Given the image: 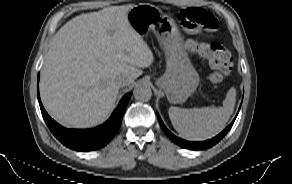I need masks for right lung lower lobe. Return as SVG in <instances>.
Segmentation results:
<instances>
[{"mask_svg":"<svg viewBox=\"0 0 292 184\" xmlns=\"http://www.w3.org/2000/svg\"><path fill=\"white\" fill-rule=\"evenodd\" d=\"M131 94L122 98L110 119L95 129H66L57 124L44 110L38 93V101L42 116L53 135L66 147L77 151H91L107 145L120 128L123 114Z\"/></svg>","mask_w":292,"mask_h":184,"instance_id":"obj_1","label":"right lung lower lobe"}]
</instances>
